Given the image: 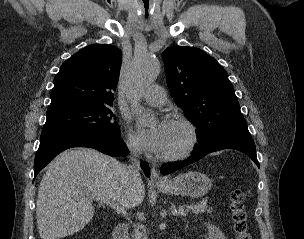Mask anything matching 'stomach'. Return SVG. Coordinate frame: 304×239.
<instances>
[{"mask_svg": "<svg viewBox=\"0 0 304 239\" xmlns=\"http://www.w3.org/2000/svg\"><path fill=\"white\" fill-rule=\"evenodd\" d=\"M212 187L210 178L198 171H189L168 180L165 184L157 185V188L165 194L202 197Z\"/></svg>", "mask_w": 304, "mask_h": 239, "instance_id": "stomach-1", "label": "stomach"}]
</instances>
